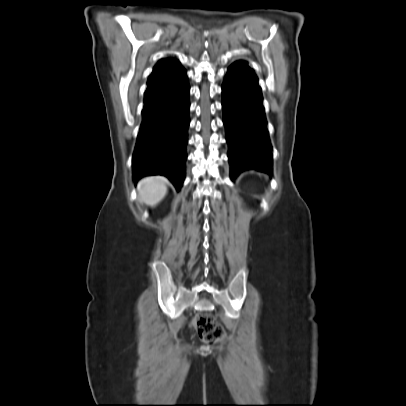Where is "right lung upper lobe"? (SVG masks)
<instances>
[{
	"instance_id": "cb5924a9",
	"label": "right lung upper lobe",
	"mask_w": 406,
	"mask_h": 406,
	"mask_svg": "<svg viewBox=\"0 0 406 406\" xmlns=\"http://www.w3.org/2000/svg\"><path fill=\"white\" fill-rule=\"evenodd\" d=\"M179 66H181L179 62L173 58L161 60L153 69L149 77L147 86L164 80L172 73V70Z\"/></svg>"
}]
</instances>
